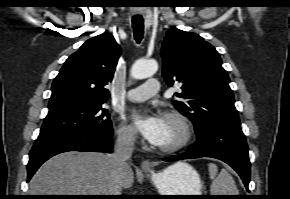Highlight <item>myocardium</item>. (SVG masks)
<instances>
[{
    "mask_svg": "<svg viewBox=\"0 0 290 199\" xmlns=\"http://www.w3.org/2000/svg\"><path fill=\"white\" fill-rule=\"evenodd\" d=\"M164 117L170 118L177 122L182 129V138L175 144L166 147H159L156 149L164 154H172L185 149L193 140L194 129L190 120L181 112L177 110H167L163 113Z\"/></svg>",
    "mask_w": 290,
    "mask_h": 199,
    "instance_id": "1",
    "label": "myocardium"
}]
</instances>
